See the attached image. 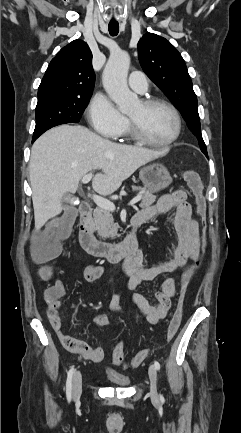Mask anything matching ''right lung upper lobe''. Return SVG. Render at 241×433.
<instances>
[{
	"label": "right lung upper lobe",
	"mask_w": 241,
	"mask_h": 433,
	"mask_svg": "<svg viewBox=\"0 0 241 433\" xmlns=\"http://www.w3.org/2000/svg\"><path fill=\"white\" fill-rule=\"evenodd\" d=\"M94 83L91 50L84 41L74 40L51 60L38 88V100L91 96Z\"/></svg>",
	"instance_id": "cb5924a9"
}]
</instances>
